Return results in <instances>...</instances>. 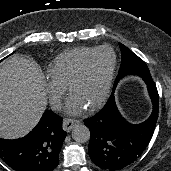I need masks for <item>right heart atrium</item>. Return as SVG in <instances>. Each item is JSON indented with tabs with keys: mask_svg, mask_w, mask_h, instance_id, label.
<instances>
[{
	"mask_svg": "<svg viewBox=\"0 0 171 171\" xmlns=\"http://www.w3.org/2000/svg\"><path fill=\"white\" fill-rule=\"evenodd\" d=\"M45 89L53 108L61 107L62 99L66 93L67 87L54 80L51 76L45 77Z\"/></svg>",
	"mask_w": 171,
	"mask_h": 171,
	"instance_id": "obj_1",
	"label": "right heart atrium"
}]
</instances>
